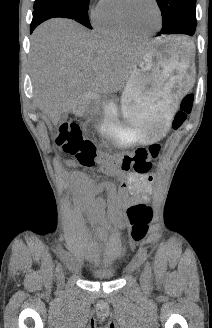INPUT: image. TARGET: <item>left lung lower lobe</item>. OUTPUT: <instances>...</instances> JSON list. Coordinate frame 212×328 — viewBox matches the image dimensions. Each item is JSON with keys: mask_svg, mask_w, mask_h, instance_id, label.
I'll list each match as a JSON object with an SVG mask.
<instances>
[{"mask_svg": "<svg viewBox=\"0 0 212 328\" xmlns=\"http://www.w3.org/2000/svg\"><path fill=\"white\" fill-rule=\"evenodd\" d=\"M194 34V32L193 33H190V34H188V35H193Z\"/></svg>", "mask_w": 212, "mask_h": 328, "instance_id": "obj_1", "label": "left lung lower lobe"}]
</instances>
